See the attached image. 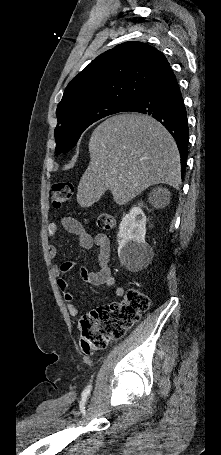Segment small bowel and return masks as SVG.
I'll use <instances>...</instances> for the list:
<instances>
[{
    "label": "small bowel",
    "mask_w": 221,
    "mask_h": 455,
    "mask_svg": "<svg viewBox=\"0 0 221 455\" xmlns=\"http://www.w3.org/2000/svg\"><path fill=\"white\" fill-rule=\"evenodd\" d=\"M62 222L65 229L78 238L81 248L88 250L95 245L98 249L97 270L90 271L87 268L82 267L80 269L82 280L91 286L106 285L108 287H115L116 280L112 275L110 266L109 238L105 234H97L92 237L83 224L74 218H64ZM48 235L51 237L58 235L57 225L50 224L48 226ZM48 254L51 259H56L59 255L58 247L50 245ZM76 265L77 264L74 261H65L62 264L53 267V273L57 276V285L63 293L67 310L71 316L79 315L80 310L75 304V296L68 286L66 275L71 269L76 267ZM114 294L116 297L121 298L124 295V289L122 287H115Z\"/></svg>",
    "instance_id": "obj_1"
}]
</instances>
